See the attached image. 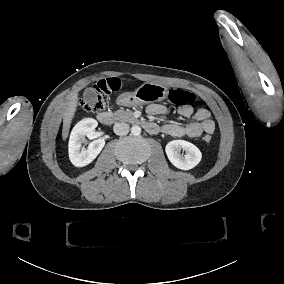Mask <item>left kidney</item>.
I'll return each instance as SVG.
<instances>
[{"mask_svg":"<svg viewBox=\"0 0 284 284\" xmlns=\"http://www.w3.org/2000/svg\"><path fill=\"white\" fill-rule=\"evenodd\" d=\"M179 148L185 150L184 157ZM165 153L168 160L178 169L188 171L196 167L202 160V153L197 146L186 140H173L167 143Z\"/></svg>","mask_w":284,"mask_h":284,"instance_id":"obj_1","label":"left kidney"}]
</instances>
